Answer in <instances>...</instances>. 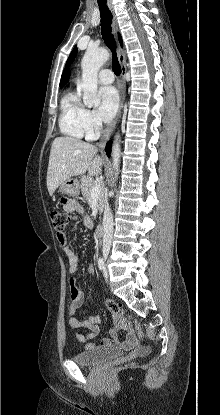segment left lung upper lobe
<instances>
[{
    "mask_svg": "<svg viewBox=\"0 0 220 415\" xmlns=\"http://www.w3.org/2000/svg\"><path fill=\"white\" fill-rule=\"evenodd\" d=\"M76 54H77V47H75L70 53L69 58L67 59V62H66V66H69L74 61Z\"/></svg>",
    "mask_w": 220,
    "mask_h": 415,
    "instance_id": "obj_1",
    "label": "left lung upper lobe"
}]
</instances>
